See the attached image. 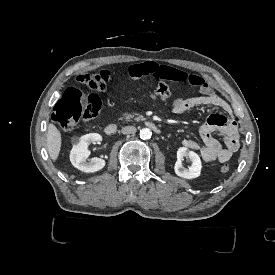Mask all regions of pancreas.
I'll return each instance as SVG.
<instances>
[{"label": "pancreas", "mask_w": 275, "mask_h": 275, "mask_svg": "<svg viewBox=\"0 0 275 275\" xmlns=\"http://www.w3.org/2000/svg\"><path fill=\"white\" fill-rule=\"evenodd\" d=\"M136 116H140L138 113H131V114H129V113H125V114H123L122 115V119H124V120H140V119H142V117H136Z\"/></svg>", "instance_id": "cf45deb5"}]
</instances>
